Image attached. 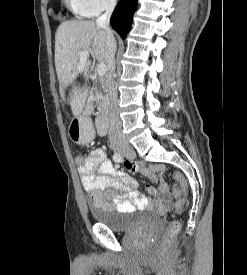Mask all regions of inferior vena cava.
Wrapping results in <instances>:
<instances>
[{
    "instance_id": "1",
    "label": "inferior vena cava",
    "mask_w": 247,
    "mask_h": 275,
    "mask_svg": "<svg viewBox=\"0 0 247 275\" xmlns=\"http://www.w3.org/2000/svg\"><path fill=\"white\" fill-rule=\"evenodd\" d=\"M117 0H107L105 4V13L97 18L96 23L105 31L107 52L106 60L108 64V71L105 76V87L108 94V139L111 146H118L126 141L125 136L121 131V123L118 113V100H117V85L114 81L115 72V53H116V40L109 27L110 17L116 6Z\"/></svg>"
}]
</instances>
